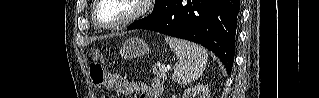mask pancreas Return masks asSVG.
<instances>
[{
	"label": "pancreas",
	"mask_w": 319,
	"mask_h": 98,
	"mask_svg": "<svg viewBox=\"0 0 319 98\" xmlns=\"http://www.w3.org/2000/svg\"><path fill=\"white\" fill-rule=\"evenodd\" d=\"M152 72H153V74L156 75L159 79L165 80V79L167 78V76H166L167 71L162 70L161 67L158 68V67L154 66V67L152 68Z\"/></svg>",
	"instance_id": "1"
}]
</instances>
